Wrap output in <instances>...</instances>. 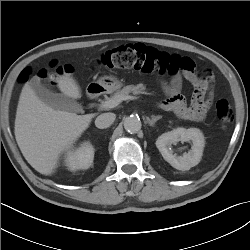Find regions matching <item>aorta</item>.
I'll use <instances>...</instances> for the list:
<instances>
[{
	"mask_svg": "<svg viewBox=\"0 0 250 250\" xmlns=\"http://www.w3.org/2000/svg\"><path fill=\"white\" fill-rule=\"evenodd\" d=\"M141 121L136 116L126 117L124 120V128L129 133H137L141 129Z\"/></svg>",
	"mask_w": 250,
	"mask_h": 250,
	"instance_id": "obj_1",
	"label": "aorta"
}]
</instances>
